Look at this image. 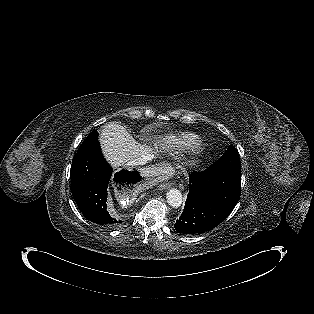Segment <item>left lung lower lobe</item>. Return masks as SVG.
I'll use <instances>...</instances> for the list:
<instances>
[{"mask_svg": "<svg viewBox=\"0 0 314 314\" xmlns=\"http://www.w3.org/2000/svg\"><path fill=\"white\" fill-rule=\"evenodd\" d=\"M184 211L175 223L182 234L210 231L232 212L240 198L241 172H192Z\"/></svg>", "mask_w": 314, "mask_h": 314, "instance_id": "left-lung-lower-lobe-1", "label": "left lung lower lobe"}]
</instances>
